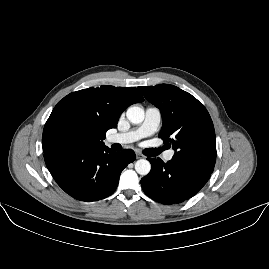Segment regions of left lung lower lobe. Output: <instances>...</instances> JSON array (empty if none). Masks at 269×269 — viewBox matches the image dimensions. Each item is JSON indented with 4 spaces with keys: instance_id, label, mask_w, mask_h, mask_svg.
Instances as JSON below:
<instances>
[{
    "instance_id": "1",
    "label": "left lung lower lobe",
    "mask_w": 269,
    "mask_h": 269,
    "mask_svg": "<svg viewBox=\"0 0 269 269\" xmlns=\"http://www.w3.org/2000/svg\"><path fill=\"white\" fill-rule=\"evenodd\" d=\"M151 163L150 173L141 179L147 196L162 204L181 203L206 184L212 171L171 159L164 163L160 158H147Z\"/></svg>"
}]
</instances>
